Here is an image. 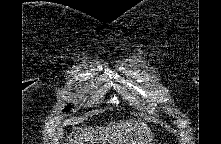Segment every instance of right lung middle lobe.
<instances>
[{"mask_svg":"<svg viewBox=\"0 0 221 144\" xmlns=\"http://www.w3.org/2000/svg\"><path fill=\"white\" fill-rule=\"evenodd\" d=\"M70 108H71V106L69 105L67 108H65V110H64V111H69V110H70Z\"/></svg>","mask_w":221,"mask_h":144,"instance_id":"right-lung-middle-lobe-1","label":"right lung middle lobe"}]
</instances>
